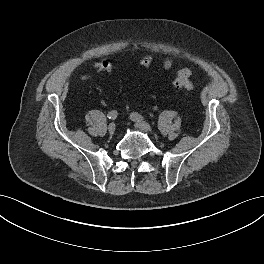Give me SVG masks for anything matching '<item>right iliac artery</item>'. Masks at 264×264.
Masks as SVG:
<instances>
[{"label": "right iliac artery", "mask_w": 264, "mask_h": 264, "mask_svg": "<svg viewBox=\"0 0 264 264\" xmlns=\"http://www.w3.org/2000/svg\"><path fill=\"white\" fill-rule=\"evenodd\" d=\"M117 115H118L117 111L112 110V111H110V112L108 113L107 117H108L109 119H115V118L117 117Z\"/></svg>", "instance_id": "1"}]
</instances>
